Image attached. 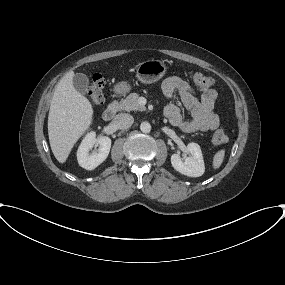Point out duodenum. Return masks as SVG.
<instances>
[{
  "instance_id": "1",
  "label": "duodenum",
  "mask_w": 285,
  "mask_h": 285,
  "mask_svg": "<svg viewBox=\"0 0 285 285\" xmlns=\"http://www.w3.org/2000/svg\"><path fill=\"white\" fill-rule=\"evenodd\" d=\"M117 112V107L114 104L107 106L102 112V118L104 121H111Z\"/></svg>"
}]
</instances>
